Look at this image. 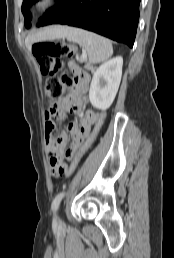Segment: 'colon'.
<instances>
[{"mask_svg": "<svg viewBox=\"0 0 174 258\" xmlns=\"http://www.w3.org/2000/svg\"><path fill=\"white\" fill-rule=\"evenodd\" d=\"M33 54L39 64L41 73L47 77L45 93L52 104L61 98L66 92L74 87V79L68 75L57 77L61 69L62 58L72 57L75 54L74 45L64 41H42L32 47ZM105 121V113L99 112L96 115L94 124L86 140L82 143L74 159L67 169V175L71 176L77 170L84 155L96 142Z\"/></svg>", "mask_w": 174, "mask_h": 258, "instance_id": "colon-1", "label": "colon"}]
</instances>
